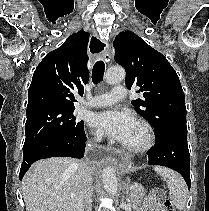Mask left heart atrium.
<instances>
[{"mask_svg":"<svg viewBox=\"0 0 209 211\" xmlns=\"http://www.w3.org/2000/svg\"><path fill=\"white\" fill-rule=\"evenodd\" d=\"M89 123L97 132L124 143L132 133L136 121L129 112L107 110L92 114Z\"/></svg>","mask_w":209,"mask_h":211,"instance_id":"obj_1","label":"left heart atrium"}]
</instances>
